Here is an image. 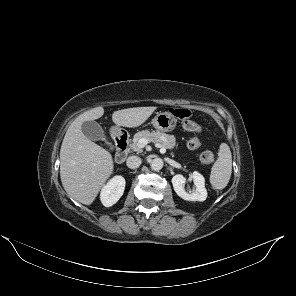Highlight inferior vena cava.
I'll return each mask as SVG.
<instances>
[{"instance_id": "1", "label": "inferior vena cava", "mask_w": 296, "mask_h": 296, "mask_svg": "<svg viewBox=\"0 0 296 296\" xmlns=\"http://www.w3.org/2000/svg\"><path fill=\"white\" fill-rule=\"evenodd\" d=\"M142 160L138 156H130L127 158L126 165L130 169H136L140 166Z\"/></svg>"}]
</instances>
